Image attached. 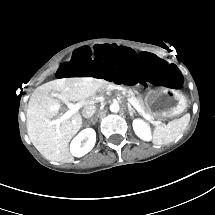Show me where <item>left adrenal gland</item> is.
Here are the masks:
<instances>
[{
  "label": "left adrenal gland",
  "mask_w": 215,
  "mask_h": 215,
  "mask_svg": "<svg viewBox=\"0 0 215 215\" xmlns=\"http://www.w3.org/2000/svg\"><path fill=\"white\" fill-rule=\"evenodd\" d=\"M128 112H129V115L134 118V114H136V111L133 109V108H130L128 107Z\"/></svg>",
  "instance_id": "1"
}]
</instances>
